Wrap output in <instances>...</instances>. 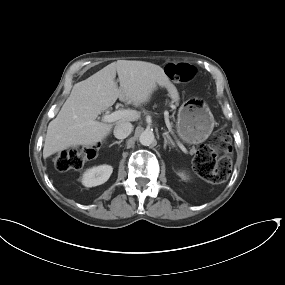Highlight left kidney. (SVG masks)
Returning <instances> with one entry per match:
<instances>
[{"label":"left kidney","mask_w":285,"mask_h":285,"mask_svg":"<svg viewBox=\"0 0 285 285\" xmlns=\"http://www.w3.org/2000/svg\"><path fill=\"white\" fill-rule=\"evenodd\" d=\"M179 176H180L182 179H186V175H185L183 172H180V173H179Z\"/></svg>","instance_id":"left-kidney-1"}]
</instances>
